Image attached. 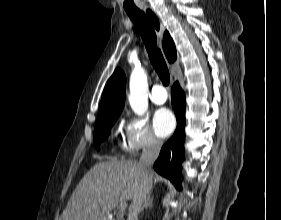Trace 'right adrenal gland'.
I'll list each match as a JSON object with an SVG mask.
<instances>
[{
    "instance_id": "1",
    "label": "right adrenal gland",
    "mask_w": 281,
    "mask_h": 220,
    "mask_svg": "<svg viewBox=\"0 0 281 220\" xmlns=\"http://www.w3.org/2000/svg\"><path fill=\"white\" fill-rule=\"evenodd\" d=\"M153 207V198L151 197V195L149 194L148 196H147V199L145 200V202H144V205H143V207H142V209H141V211H144V209H151Z\"/></svg>"
}]
</instances>
